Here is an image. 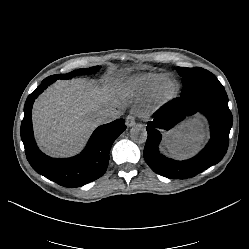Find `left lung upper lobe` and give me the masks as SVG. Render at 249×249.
Wrapping results in <instances>:
<instances>
[{
    "instance_id": "obj_1",
    "label": "left lung upper lobe",
    "mask_w": 249,
    "mask_h": 249,
    "mask_svg": "<svg viewBox=\"0 0 249 249\" xmlns=\"http://www.w3.org/2000/svg\"><path fill=\"white\" fill-rule=\"evenodd\" d=\"M176 70L183 82L181 96L207 87L222 86L214 74L203 68L177 67Z\"/></svg>"
}]
</instances>
